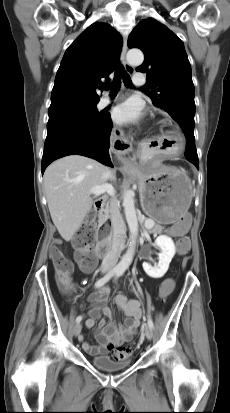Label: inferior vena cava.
Listing matches in <instances>:
<instances>
[{
	"label": "inferior vena cava",
	"instance_id": "obj_1",
	"mask_svg": "<svg viewBox=\"0 0 230 413\" xmlns=\"http://www.w3.org/2000/svg\"><path fill=\"white\" fill-rule=\"evenodd\" d=\"M103 177L107 180L111 179L114 177V172L107 169L103 173ZM110 213L111 225L113 228V241L110 250L108 251L107 255L105 256L102 262V269L104 271H109L116 265L118 258L121 254V251L124 247L123 235L126 231L124 220L120 214L119 204L116 202L115 199L111 200Z\"/></svg>",
	"mask_w": 230,
	"mask_h": 413
}]
</instances>
